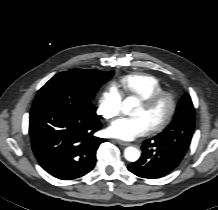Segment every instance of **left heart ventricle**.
Returning <instances> with one entry per match:
<instances>
[{
	"label": "left heart ventricle",
	"mask_w": 218,
	"mask_h": 210,
	"mask_svg": "<svg viewBox=\"0 0 218 210\" xmlns=\"http://www.w3.org/2000/svg\"><path fill=\"white\" fill-rule=\"evenodd\" d=\"M167 111L168 103L166 101H161L150 109H147L142 104H140L134 116L145 118L151 128L153 125L161 122L164 119Z\"/></svg>",
	"instance_id": "obj_1"
}]
</instances>
